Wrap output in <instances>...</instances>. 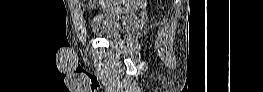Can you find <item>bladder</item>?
Returning a JSON list of instances; mask_svg holds the SVG:
<instances>
[{"label":"bladder","instance_id":"obj_1","mask_svg":"<svg viewBox=\"0 0 263 92\" xmlns=\"http://www.w3.org/2000/svg\"><path fill=\"white\" fill-rule=\"evenodd\" d=\"M136 16V11L132 9L109 7L103 10L100 16L95 19L92 31L103 38H117L131 28Z\"/></svg>","mask_w":263,"mask_h":92}]
</instances>
